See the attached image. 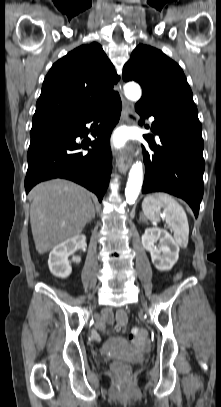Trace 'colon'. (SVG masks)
Wrapping results in <instances>:
<instances>
[{"mask_svg":"<svg viewBox=\"0 0 221 407\" xmlns=\"http://www.w3.org/2000/svg\"><path fill=\"white\" fill-rule=\"evenodd\" d=\"M127 310L126 309H119L118 313L114 315V320L116 321V328L117 332L125 331L126 328L131 327V322L127 321ZM130 339L136 345H142L147 339V335L144 331H134L130 335ZM112 372L115 377L119 380V382L124 383L128 380L130 376V367L121 361H116L112 364Z\"/></svg>","mask_w":221,"mask_h":407,"instance_id":"colon-1","label":"colon"}]
</instances>
